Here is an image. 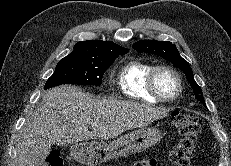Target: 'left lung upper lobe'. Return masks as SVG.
<instances>
[{
  "instance_id": "left-lung-upper-lobe-1",
  "label": "left lung upper lobe",
  "mask_w": 231,
  "mask_h": 166,
  "mask_svg": "<svg viewBox=\"0 0 231 166\" xmlns=\"http://www.w3.org/2000/svg\"><path fill=\"white\" fill-rule=\"evenodd\" d=\"M132 47L139 53L145 52L161 56L167 61L173 63L175 67L183 70L194 91L195 97L201 102H204L202 90L193 78V72L190 64L180 56L174 44L169 41L140 40L134 43Z\"/></svg>"
}]
</instances>
